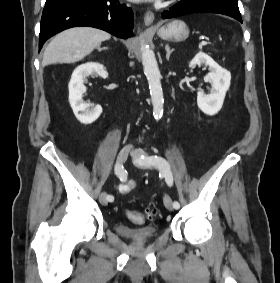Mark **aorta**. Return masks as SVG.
Returning <instances> with one entry per match:
<instances>
[{"label": "aorta", "mask_w": 280, "mask_h": 283, "mask_svg": "<svg viewBox=\"0 0 280 283\" xmlns=\"http://www.w3.org/2000/svg\"><path fill=\"white\" fill-rule=\"evenodd\" d=\"M142 53V65L144 69V74L147 77L151 101L153 105V115L156 119H159L163 115V91L161 86V75L158 68L157 60L155 58L154 52L149 48V46L144 43L141 44Z\"/></svg>", "instance_id": "aorta-1"}]
</instances>
